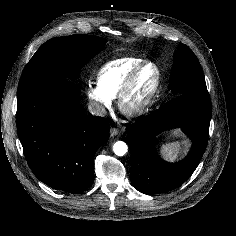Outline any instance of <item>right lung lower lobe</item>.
I'll list each match as a JSON object with an SVG mask.
<instances>
[{"label": "right lung lower lobe", "instance_id": "right-lung-lower-lobe-1", "mask_svg": "<svg viewBox=\"0 0 236 236\" xmlns=\"http://www.w3.org/2000/svg\"><path fill=\"white\" fill-rule=\"evenodd\" d=\"M79 96V87L65 79L17 92V131L29 167L46 185L74 194L91 186L94 155L109 138L102 117L79 110Z\"/></svg>", "mask_w": 236, "mask_h": 236}]
</instances>
